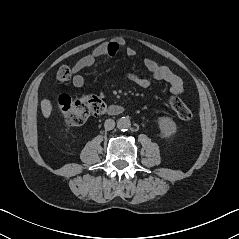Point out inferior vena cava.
Wrapping results in <instances>:
<instances>
[{"label": "inferior vena cava", "mask_w": 239, "mask_h": 239, "mask_svg": "<svg viewBox=\"0 0 239 239\" xmlns=\"http://www.w3.org/2000/svg\"><path fill=\"white\" fill-rule=\"evenodd\" d=\"M115 127V121L113 119H107L104 123V128L106 131L112 130Z\"/></svg>", "instance_id": "obj_1"}]
</instances>
